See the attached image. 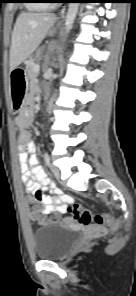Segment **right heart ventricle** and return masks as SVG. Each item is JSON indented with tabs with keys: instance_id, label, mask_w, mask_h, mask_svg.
Returning a JSON list of instances; mask_svg holds the SVG:
<instances>
[{
	"instance_id": "e07e8e85",
	"label": "right heart ventricle",
	"mask_w": 136,
	"mask_h": 296,
	"mask_svg": "<svg viewBox=\"0 0 136 296\" xmlns=\"http://www.w3.org/2000/svg\"><path fill=\"white\" fill-rule=\"evenodd\" d=\"M31 3L27 4L29 9L39 10V9H46L47 4L43 2V0H30Z\"/></svg>"
}]
</instances>
